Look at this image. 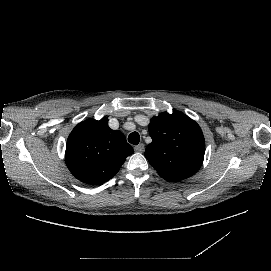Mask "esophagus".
<instances>
[{
	"instance_id": "esophagus-1",
	"label": "esophagus",
	"mask_w": 271,
	"mask_h": 271,
	"mask_svg": "<svg viewBox=\"0 0 271 271\" xmlns=\"http://www.w3.org/2000/svg\"><path fill=\"white\" fill-rule=\"evenodd\" d=\"M134 150H135V152L143 153L144 150H145V144L144 143H140L139 145H136L134 147Z\"/></svg>"
}]
</instances>
